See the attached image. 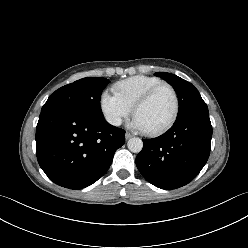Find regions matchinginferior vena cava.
<instances>
[{
  "label": "inferior vena cava",
  "instance_id": "602c4592",
  "mask_svg": "<svg viewBox=\"0 0 248 248\" xmlns=\"http://www.w3.org/2000/svg\"><path fill=\"white\" fill-rule=\"evenodd\" d=\"M107 121L110 123V124H112V125H115V126H119V125H121V123H122V120H121V118L120 117H108L107 118Z\"/></svg>",
  "mask_w": 248,
  "mask_h": 248
}]
</instances>
